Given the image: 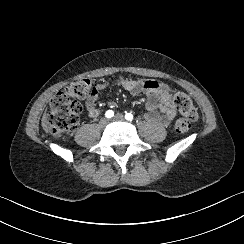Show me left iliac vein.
<instances>
[{
  "instance_id": "obj_1",
  "label": "left iliac vein",
  "mask_w": 244,
  "mask_h": 244,
  "mask_svg": "<svg viewBox=\"0 0 244 244\" xmlns=\"http://www.w3.org/2000/svg\"><path fill=\"white\" fill-rule=\"evenodd\" d=\"M113 120L115 121H123L124 120V116L120 113L116 114L113 118Z\"/></svg>"
}]
</instances>
